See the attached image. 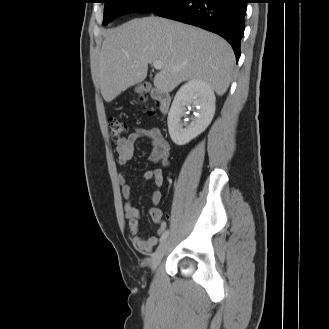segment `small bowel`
Masks as SVG:
<instances>
[{
	"mask_svg": "<svg viewBox=\"0 0 329 329\" xmlns=\"http://www.w3.org/2000/svg\"><path fill=\"white\" fill-rule=\"evenodd\" d=\"M148 139L152 145L150 161L154 164L167 165L170 158V146L158 128L137 127L131 134L116 141L117 160L120 165H126L132 159L135 145L138 141ZM145 180H152L153 207L150 208L149 214L154 223L157 224V235L149 237L139 236V217L140 212L131 204L133 187L129 183L125 174H120L119 183L121 185L122 197L124 200V212L128 219V227L132 236L133 244L137 251L150 255L154 246L158 243V236L161 235L166 223L162 219V211L158 204L162 198V188L164 185L163 170L160 167L146 170L143 174Z\"/></svg>",
	"mask_w": 329,
	"mask_h": 329,
	"instance_id": "small-bowel-1",
	"label": "small bowel"
}]
</instances>
